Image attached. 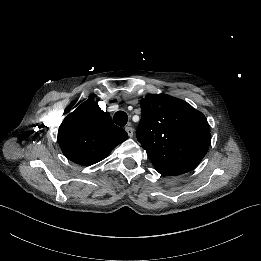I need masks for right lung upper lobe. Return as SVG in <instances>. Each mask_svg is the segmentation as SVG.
<instances>
[{"label":"right lung upper lobe","instance_id":"right-lung-upper-lobe-1","mask_svg":"<svg viewBox=\"0 0 261 261\" xmlns=\"http://www.w3.org/2000/svg\"><path fill=\"white\" fill-rule=\"evenodd\" d=\"M127 138V133L114 125L108 113L91 99L69 114L58 130V142L64 155L83 166L103 160Z\"/></svg>","mask_w":261,"mask_h":261}]
</instances>
